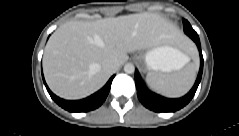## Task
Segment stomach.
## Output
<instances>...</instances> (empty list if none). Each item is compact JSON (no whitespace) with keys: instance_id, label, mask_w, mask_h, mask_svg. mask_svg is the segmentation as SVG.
<instances>
[{"instance_id":"stomach-1","label":"stomach","mask_w":239,"mask_h":136,"mask_svg":"<svg viewBox=\"0 0 239 136\" xmlns=\"http://www.w3.org/2000/svg\"><path fill=\"white\" fill-rule=\"evenodd\" d=\"M136 59H144L149 70L172 72L181 69L187 61V56L180 50L165 44L149 49L144 55H137Z\"/></svg>"}]
</instances>
